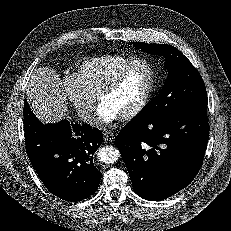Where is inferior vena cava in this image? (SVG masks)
<instances>
[{
    "instance_id": "602c4592",
    "label": "inferior vena cava",
    "mask_w": 231,
    "mask_h": 231,
    "mask_svg": "<svg viewBox=\"0 0 231 231\" xmlns=\"http://www.w3.org/2000/svg\"><path fill=\"white\" fill-rule=\"evenodd\" d=\"M79 116L84 120L90 121V119L92 118V111L89 108H85L81 110Z\"/></svg>"
}]
</instances>
